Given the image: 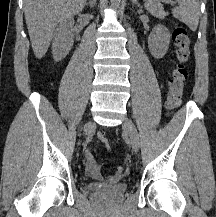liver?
<instances>
[{
  "label": "liver",
  "instance_id": "6515ba94",
  "mask_svg": "<svg viewBox=\"0 0 216 217\" xmlns=\"http://www.w3.org/2000/svg\"><path fill=\"white\" fill-rule=\"evenodd\" d=\"M85 3L86 0H24L28 33L38 59L48 51L55 27L82 11Z\"/></svg>",
  "mask_w": 216,
  "mask_h": 217
}]
</instances>
